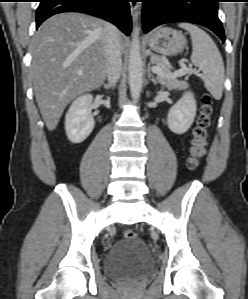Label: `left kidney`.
<instances>
[{
	"mask_svg": "<svg viewBox=\"0 0 248 299\" xmlns=\"http://www.w3.org/2000/svg\"><path fill=\"white\" fill-rule=\"evenodd\" d=\"M196 110V101L193 93L185 92L168 112L167 124L169 129L175 134L187 132L194 122Z\"/></svg>",
	"mask_w": 248,
	"mask_h": 299,
	"instance_id": "5707ae66",
	"label": "left kidney"
}]
</instances>
